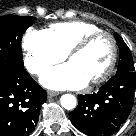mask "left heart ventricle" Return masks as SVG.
<instances>
[{"label": "left heart ventricle", "mask_w": 136, "mask_h": 136, "mask_svg": "<svg viewBox=\"0 0 136 136\" xmlns=\"http://www.w3.org/2000/svg\"><path fill=\"white\" fill-rule=\"evenodd\" d=\"M112 55L111 41L107 36L95 39L84 51L71 57L75 65L88 81L98 77L108 66Z\"/></svg>", "instance_id": "left-heart-ventricle-1"}]
</instances>
